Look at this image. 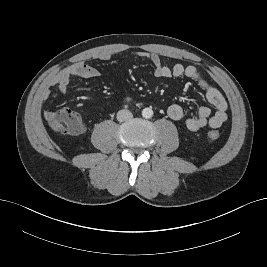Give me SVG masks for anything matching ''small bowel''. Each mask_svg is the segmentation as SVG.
I'll return each instance as SVG.
<instances>
[{
    "label": "small bowel",
    "instance_id": "1",
    "mask_svg": "<svg viewBox=\"0 0 267 267\" xmlns=\"http://www.w3.org/2000/svg\"><path fill=\"white\" fill-rule=\"evenodd\" d=\"M134 57L148 59L154 67V75L158 78H180L186 77L189 80L195 82L200 89L205 93L208 103L214 107L215 111L212 114V109L209 105L200 106L198 113L194 116H189L185 119V125L190 131H197L206 125L212 128H219L227 119L228 105L221 94V92L210 85L200 74L195 66H184L182 64H175L170 67L164 64L161 58L157 54H151L149 52L141 51L133 54ZM99 59L110 60L111 55L104 53L100 54ZM100 75V72L84 63L76 62L62 71H60L51 81V86L57 87V90L61 94H65L72 89H82L80 86H73L71 79L73 77H79L83 79L95 78ZM50 96V91L45 90L42 93V99L46 100ZM131 98L126 97L124 102H130ZM168 116L173 120H181L184 117V110L179 104H171L167 109ZM53 111L46 110L43 115L46 120H49Z\"/></svg>",
    "mask_w": 267,
    "mask_h": 267
}]
</instances>
